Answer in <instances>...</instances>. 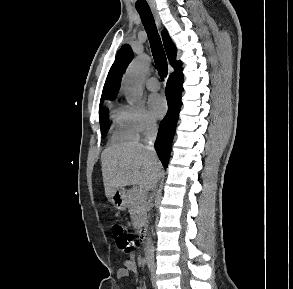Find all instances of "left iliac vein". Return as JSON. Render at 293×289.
<instances>
[{
    "label": "left iliac vein",
    "mask_w": 293,
    "mask_h": 289,
    "mask_svg": "<svg viewBox=\"0 0 293 289\" xmlns=\"http://www.w3.org/2000/svg\"><path fill=\"white\" fill-rule=\"evenodd\" d=\"M155 269H156V264L153 261L152 265H151V281H152V285L155 289H157V285H156V277H155Z\"/></svg>",
    "instance_id": "4c4485c4"
}]
</instances>
